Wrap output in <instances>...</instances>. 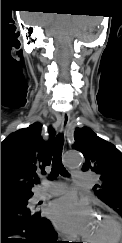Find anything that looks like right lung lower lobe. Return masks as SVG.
<instances>
[{
	"instance_id": "1",
	"label": "right lung lower lobe",
	"mask_w": 122,
	"mask_h": 243,
	"mask_svg": "<svg viewBox=\"0 0 122 243\" xmlns=\"http://www.w3.org/2000/svg\"><path fill=\"white\" fill-rule=\"evenodd\" d=\"M26 197L21 202H1V243H56L57 237L51 222L28 206ZM19 234L21 238L10 235Z\"/></svg>"
}]
</instances>
